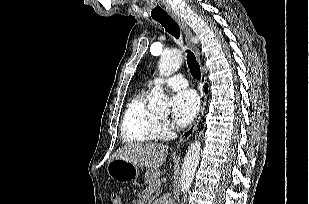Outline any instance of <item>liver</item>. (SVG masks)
I'll return each mask as SVG.
<instances>
[{"label":"liver","instance_id":"liver-1","mask_svg":"<svg viewBox=\"0 0 309 204\" xmlns=\"http://www.w3.org/2000/svg\"><path fill=\"white\" fill-rule=\"evenodd\" d=\"M168 147L163 144H128L119 148L112 160L121 159L141 167L158 168L166 160Z\"/></svg>","mask_w":309,"mask_h":204}]
</instances>
